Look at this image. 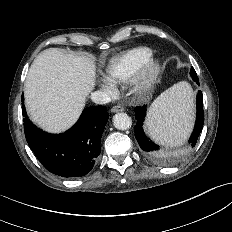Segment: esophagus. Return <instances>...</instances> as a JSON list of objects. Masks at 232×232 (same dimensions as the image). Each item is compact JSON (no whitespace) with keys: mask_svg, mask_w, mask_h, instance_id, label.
I'll list each match as a JSON object with an SVG mask.
<instances>
[{"mask_svg":"<svg viewBox=\"0 0 232 232\" xmlns=\"http://www.w3.org/2000/svg\"><path fill=\"white\" fill-rule=\"evenodd\" d=\"M124 108L121 105H115L112 107L111 112L116 113V112H122Z\"/></svg>","mask_w":232,"mask_h":232,"instance_id":"obj_1","label":"esophagus"}]
</instances>
